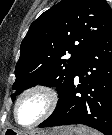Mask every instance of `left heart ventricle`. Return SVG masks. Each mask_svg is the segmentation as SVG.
I'll list each match as a JSON object with an SVG mask.
<instances>
[{
	"mask_svg": "<svg viewBox=\"0 0 112 135\" xmlns=\"http://www.w3.org/2000/svg\"><path fill=\"white\" fill-rule=\"evenodd\" d=\"M47 99L42 93H31L25 96L17 108L20 123L28 125L40 118L47 109Z\"/></svg>",
	"mask_w": 112,
	"mask_h": 135,
	"instance_id": "1",
	"label": "left heart ventricle"
}]
</instances>
